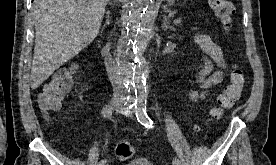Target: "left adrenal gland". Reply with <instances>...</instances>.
<instances>
[{
	"label": "left adrenal gland",
	"instance_id": "1",
	"mask_svg": "<svg viewBox=\"0 0 276 165\" xmlns=\"http://www.w3.org/2000/svg\"><path fill=\"white\" fill-rule=\"evenodd\" d=\"M161 28L163 30L171 29V30L175 31L174 26L170 25V23L168 22V18L166 15H163V23L161 25Z\"/></svg>",
	"mask_w": 276,
	"mask_h": 165
}]
</instances>
